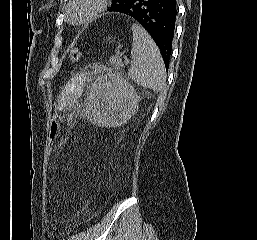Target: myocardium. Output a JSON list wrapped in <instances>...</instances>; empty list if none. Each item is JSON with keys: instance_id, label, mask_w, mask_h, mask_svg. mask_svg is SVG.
Returning a JSON list of instances; mask_svg holds the SVG:
<instances>
[{"instance_id": "myocardium-1", "label": "myocardium", "mask_w": 257, "mask_h": 240, "mask_svg": "<svg viewBox=\"0 0 257 240\" xmlns=\"http://www.w3.org/2000/svg\"><path fill=\"white\" fill-rule=\"evenodd\" d=\"M79 0H69L66 6V15L69 22L73 25L81 26L97 17L106 7L107 0H90L91 8L80 19H74L71 13L72 6Z\"/></svg>"}]
</instances>
